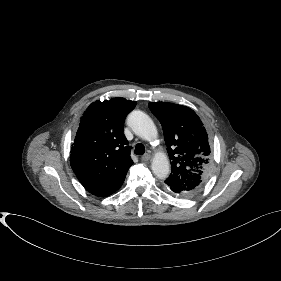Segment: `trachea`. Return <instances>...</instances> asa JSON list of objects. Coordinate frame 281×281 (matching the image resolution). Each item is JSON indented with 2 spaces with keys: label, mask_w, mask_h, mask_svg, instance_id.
Returning <instances> with one entry per match:
<instances>
[{
  "label": "trachea",
  "mask_w": 281,
  "mask_h": 281,
  "mask_svg": "<svg viewBox=\"0 0 281 281\" xmlns=\"http://www.w3.org/2000/svg\"><path fill=\"white\" fill-rule=\"evenodd\" d=\"M135 154L136 155H143L145 153V147L143 144L141 143H138L136 146H135Z\"/></svg>",
  "instance_id": "obj_1"
}]
</instances>
